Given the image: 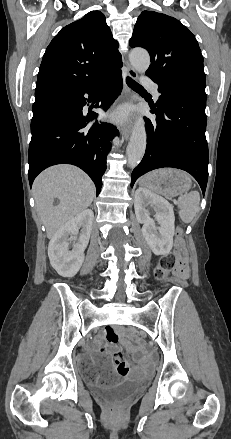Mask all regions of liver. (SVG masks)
<instances>
[{
	"label": "liver",
	"instance_id": "obj_1",
	"mask_svg": "<svg viewBox=\"0 0 231 439\" xmlns=\"http://www.w3.org/2000/svg\"><path fill=\"white\" fill-rule=\"evenodd\" d=\"M36 210L50 239L69 220L86 210L95 196L89 176L72 165H56L44 170L33 183ZM59 200L54 205L55 199Z\"/></svg>",
	"mask_w": 231,
	"mask_h": 439
}]
</instances>
